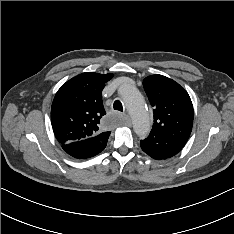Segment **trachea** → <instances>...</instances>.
<instances>
[{"instance_id":"1","label":"trachea","mask_w":234,"mask_h":234,"mask_svg":"<svg viewBox=\"0 0 234 234\" xmlns=\"http://www.w3.org/2000/svg\"><path fill=\"white\" fill-rule=\"evenodd\" d=\"M113 108L115 110H118V111H121L123 112V106H122V103L119 101V100H116L113 104Z\"/></svg>"}]
</instances>
